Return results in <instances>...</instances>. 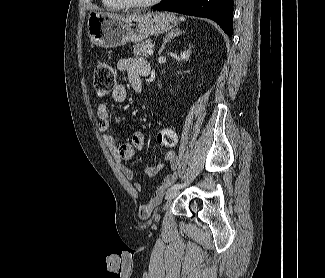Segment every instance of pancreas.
I'll return each mask as SVG.
<instances>
[{"label": "pancreas", "mask_w": 325, "mask_h": 278, "mask_svg": "<svg viewBox=\"0 0 325 278\" xmlns=\"http://www.w3.org/2000/svg\"><path fill=\"white\" fill-rule=\"evenodd\" d=\"M150 48H152V41L150 39H147V40L133 46L134 55L137 58H147L148 50Z\"/></svg>", "instance_id": "cf45deb5"}]
</instances>
